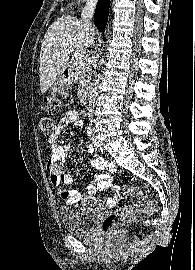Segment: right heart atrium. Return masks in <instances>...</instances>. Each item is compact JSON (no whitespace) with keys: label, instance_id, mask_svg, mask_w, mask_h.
<instances>
[{"label":"right heart atrium","instance_id":"1","mask_svg":"<svg viewBox=\"0 0 195 270\" xmlns=\"http://www.w3.org/2000/svg\"><path fill=\"white\" fill-rule=\"evenodd\" d=\"M79 1H90V0H79Z\"/></svg>","mask_w":195,"mask_h":270}]
</instances>
